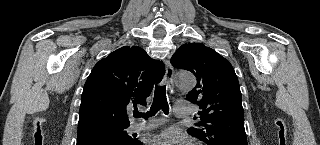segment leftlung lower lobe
<instances>
[{
    "instance_id": "left-lung-lower-lobe-1",
    "label": "left lung lower lobe",
    "mask_w": 320,
    "mask_h": 145,
    "mask_svg": "<svg viewBox=\"0 0 320 145\" xmlns=\"http://www.w3.org/2000/svg\"><path fill=\"white\" fill-rule=\"evenodd\" d=\"M226 145H243V144L232 141V142L227 143Z\"/></svg>"
}]
</instances>
